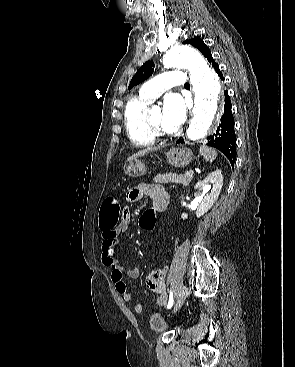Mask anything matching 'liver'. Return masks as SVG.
<instances>
[{"instance_id":"liver-1","label":"liver","mask_w":295,"mask_h":367,"mask_svg":"<svg viewBox=\"0 0 295 367\" xmlns=\"http://www.w3.org/2000/svg\"><path fill=\"white\" fill-rule=\"evenodd\" d=\"M159 147H147L143 150L138 151L137 153L133 154L132 156L128 157L127 161L135 160L136 158L143 157L150 152L157 151Z\"/></svg>"}]
</instances>
